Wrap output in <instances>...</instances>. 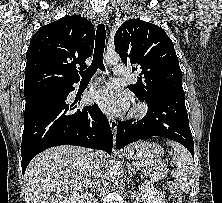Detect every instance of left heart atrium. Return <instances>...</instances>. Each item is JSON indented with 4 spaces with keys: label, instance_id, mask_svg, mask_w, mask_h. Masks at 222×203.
<instances>
[{
    "label": "left heart atrium",
    "instance_id": "left-heart-atrium-1",
    "mask_svg": "<svg viewBox=\"0 0 222 203\" xmlns=\"http://www.w3.org/2000/svg\"><path fill=\"white\" fill-rule=\"evenodd\" d=\"M93 99L105 112L110 114H120L129 105L128 95L112 85L97 91Z\"/></svg>",
    "mask_w": 222,
    "mask_h": 203
}]
</instances>
